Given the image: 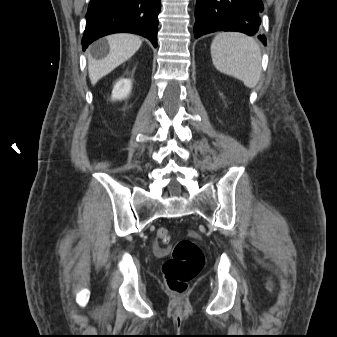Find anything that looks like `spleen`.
Listing matches in <instances>:
<instances>
[{
	"instance_id": "spleen-1",
	"label": "spleen",
	"mask_w": 337,
	"mask_h": 337,
	"mask_svg": "<svg viewBox=\"0 0 337 337\" xmlns=\"http://www.w3.org/2000/svg\"><path fill=\"white\" fill-rule=\"evenodd\" d=\"M211 57L218 71L254 88L261 75V50L254 38L243 33L221 32L211 44Z\"/></svg>"
}]
</instances>
